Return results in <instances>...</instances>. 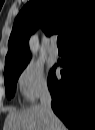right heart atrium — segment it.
<instances>
[{"instance_id":"1","label":"right heart atrium","mask_w":95,"mask_h":130,"mask_svg":"<svg viewBox=\"0 0 95 130\" xmlns=\"http://www.w3.org/2000/svg\"><path fill=\"white\" fill-rule=\"evenodd\" d=\"M18 85L23 97L29 102L46 94L48 83L43 66L37 62H29L19 74Z\"/></svg>"}]
</instances>
